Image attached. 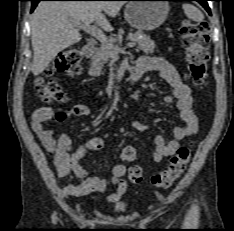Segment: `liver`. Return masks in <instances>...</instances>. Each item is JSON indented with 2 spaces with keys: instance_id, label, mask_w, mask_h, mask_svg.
<instances>
[{
  "instance_id": "obj_1",
  "label": "liver",
  "mask_w": 234,
  "mask_h": 231,
  "mask_svg": "<svg viewBox=\"0 0 234 231\" xmlns=\"http://www.w3.org/2000/svg\"><path fill=\"white\" fill-rule=\"evenodd\" d=\"M123 5V1L40 2L31 18L33 74L42 73L61 51L80 41L77 23L95 22L105 31H112L105 14L115 17Z\"/></svg>"
}]
</instances>
